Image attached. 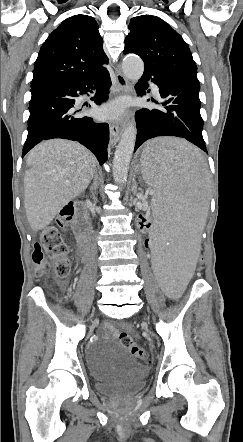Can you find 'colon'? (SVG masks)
I'll return each mask as SVG.
<instances>
[{
    "label": "colon",
    "mask_w": 243,
    "mask_h": 442,
    "mask_svg": "<svg viewBox=\"0 0 243 442\" xmlns=\"http://www.w3.org/2000/svg\"><path fill=\"white\" fill-rule=\"evenodd\" d=\"M77 205L73 203L65 204L58 216V226L68 227L72 224L75 214L77 212ZM136 231L141 233L142 246L149 251L151 246V223L145 216L135 217ZM69 247L60 235L58 229L54 226L44 229L41 235L40 242L34 245L32 252V261L35 265L36 275H43L49 268L46 256L52 261L53 268L57 276L66 277L70 272V260L68 258ZM207 261V256L200 254L197 256L194 268L197 271L204 269V264ZM119 342L122 346L127 348L132 356L141 361L142 365H153L154 357L149 356L146 349L135 344L130 334L121 332L119 334Z\"/></svg>",
    "instance_id": "obj_1"
}]
</instances>
